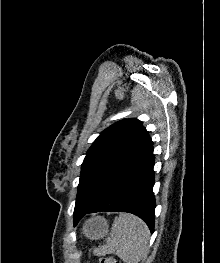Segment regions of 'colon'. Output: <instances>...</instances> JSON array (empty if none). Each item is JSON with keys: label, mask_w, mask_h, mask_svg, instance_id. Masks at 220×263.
Here are the masks:
<instances>
[{"label": "colon", "mask_w": 220, "mask_h": 263, "mask_svg": "<svg viewBox=\"0 0 220 263\" xmlns=\"http://www.w3.org/2000/svg\"><path fill=\"white\" fill-rule=\"evenodd\" d=\"M99 263H121V262L112 257H100Z\"/></svg>", "instance_id": "5ec220e1"}]
</instances>
